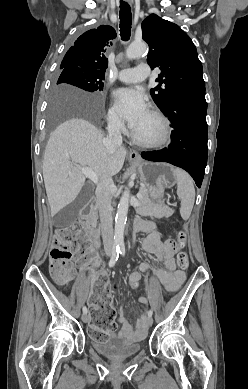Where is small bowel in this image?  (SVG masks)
<instances>
[{
  "label": "small bowel",
  "instance_id": "obj_1",
  "mask_svg": "<svg viewBox=\"0 0 248 389\" xmlns=\"http://www.w3.org/2000/svg\"><path fill=\"white\" fill-rule=\"evenodd\" d=\"M138 230L148 232V235L143 241V249L155 255L162 263L163 268L151 269L153 275L159 280V282L166 288V290L173 292L176 291L184 282L185 275L181 271L175 269L174 254L179 250L180 244L178 242L167 240L161 241L160 234L156 228V225L151 222L141 223L137 225ZM150 270L148 264L142 263L139 270L133 272L128 277V283L132 277L142 278L143 273ZM117 287H113V292H116ZM110 300H111V296ZM139 302L143 305L148 303V299L143 300L139 298ZM119 322L121 329L118 333L114 331H108V336L121 337L130 341H139L145 337L147 333V316L146 311L139 316L136 326L134 327L129 321L124 308L120 309Z\"/></svg>",
  "mask_w": 248,
  "mask_h": 389
}]
</instances>
